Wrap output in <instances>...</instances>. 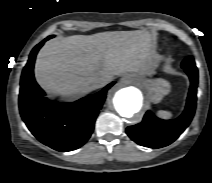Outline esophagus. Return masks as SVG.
Returning a JSON list of instances; mask_svg holds the SVG:
<instances>
[{
    "mask_svg": "<svg viewBox=\"0 0 212 183\" xmlns=\"http://www.w3.org/2000/svg\"><path fill=\"white\" fill-rule=\"evenodd\" d=\"M132 80H133V78L130 77V76H124V77L121 78V82H122V83H125V84L131 83Z\"/></svg>",
    "mask_w": 212,
    "mask_h": 183,
    "instance_id": "esophagus-1",
    "label": "esophagus"
}]
</instances>
